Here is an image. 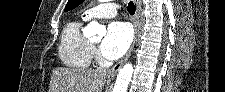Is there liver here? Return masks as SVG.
<instances>
[{
	"label": "liver",
	"mask_w": 225,
	"mask_h": 92,
	"mask_svg": "<svg viewBox=\"0 0 225 92\" xmlns=\"http://www.w3.org/2000/svg\"><path fill=\"white\" fill-rule=\"evenodd\" d=\"M106 78V70L57 67L52 71L49 92H102Z\"/></svg>",
	"instance_id": "obj_1"
}]
</instances>
